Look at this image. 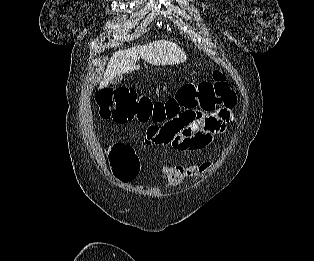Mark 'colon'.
Here are the masks:
<instances>
[{
  "instance_id": "5ec220e1",
  "label": "colon",
  "mask_w": 314,
  "mask_h": 261,
  "mask_svg": "<svg viewBox=\"0 0 314 261\" xmlns=\"http://www.w3.org/2000/svg\"><path fill=\"white\" fill-rule=\"evenodd\" d=\"M212 81L198 84H182L175 95L167 101H155L136 90L126 87L104 88L97 92L99 116L117 123L138 122L149 124L152 129L163 120L182 113V109H207L212 111L219 105L228 104L234 94L226 82L225 74L215 69ZM114 175L124 182L133 180L139 172V161L134 150L127 144H113L108 149Z\"/></svg>"
}]
</instances>
